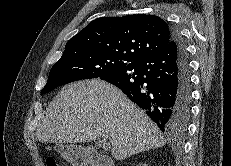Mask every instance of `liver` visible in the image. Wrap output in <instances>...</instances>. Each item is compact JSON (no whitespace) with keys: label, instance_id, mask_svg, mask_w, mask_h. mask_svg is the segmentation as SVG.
Wrapping results in <instances>:
<instances>
[{"label":"liver","instance_id":"1","mask_svg":"<svg viewBox=\"0 0 231 166\" xmlns=\"http://www.w3.org/2000/svg\"><path fill=\"white\" fill-rule=\"evenodd\" d=\"M109 139L112 155L123 160L165 143L157 125L117 87L92 79L66 85L41 117L42 143H82Z\"/></svg>","mask_w":231,"mask_h":166}]
</instances>
